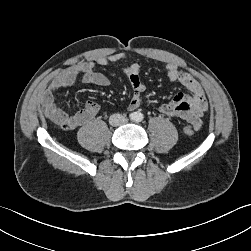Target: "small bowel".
Returning a JSON list of instances; mask_svg holds the SVG:
<instances>
[{"label":"small bowel","instance_id":"c3829d8e","mask_svg":"<svg viewBox=\"0 0 251 251\" xmlns=\"http://www.w3.org/2000/svg\"><path fill=\"white\" fill-rule=\"evenodd\" d=\"M124 60H126L124 53L100 56L95 60L79 63L55 76L49 82L45 92L41 96V104L46 109L48 116L52 119L54 112L63 111L54 101V94L57 91L74 85L79 79L86 84L106 87L110 84V80L105 74L95 71L96 66H106L110 63H119ZM164 68L168 79L181 84L188 91V94H176L169 102L159 107L160 113L168 117L185 120L192 124L195 129L200 128L202 117L208 109L207 98L202 86L189 73L179 69L173 63L165 64ZM123 72L132 87V96L128 109L136 110L142 105L143 92L145 91V85L139 77L140 65L138 63L126 65ZM99 110L100 106L97 102L87 101L83 108L71 115L72 128L89 122L98 114Z\"/></svg>","mask_w":251,"mask_h":251}]
</instances>
